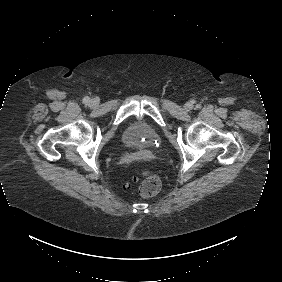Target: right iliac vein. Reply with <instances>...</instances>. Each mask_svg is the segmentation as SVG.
<instances>
[{
	"instance_id": "1",
	"label": "right iliac vein",
	"mask_w": 282,
	"mask_h": 282,
	"mask_svg": "<svg viewBox=\"0 0 282 282\" xmlns=\"http://www.w3.org/2000/svg\"><path fill=\"white\" fill-rule=\"evenodd\" d=\"M91 105H92V106H96V105H97V101L91 100Z\"/></svg>"
}]
</instances>
